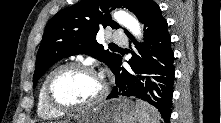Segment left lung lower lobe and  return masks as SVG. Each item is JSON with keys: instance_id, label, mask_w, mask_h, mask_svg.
I'll return each mask as SVG.
<instances>
[{"instance_id": "1", "label": "left lung lower lobe", "mask_w": 221, "mask_h": 123, "mask_svg": "<svg viewBox=\"0 0 221 123\" xmlns=\"http://www.w3.org/2000/svg\"><path fill=\"white\" fill-rule=\"evenodd\" d=\"M139 21L144 24L143 45L139 46L129 32L126 34L139 50L141 57L131 51L133 56L128 61L131 70L121 67L122 57H118L111 69L115 75L116 86L107 98L134 96L155 106L164 120L169 121L175 71L168 24L154 1L148 3Z\"/></svg>"}]
</instances>
